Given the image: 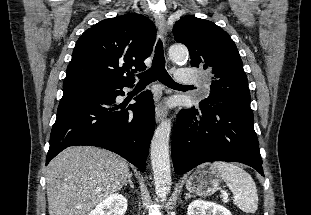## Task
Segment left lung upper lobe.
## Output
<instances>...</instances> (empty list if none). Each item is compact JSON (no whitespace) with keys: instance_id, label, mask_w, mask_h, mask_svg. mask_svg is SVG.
I'll return each instance as SVG.
<instances>
[{"instance_id":"obj_1","label":"left lung upper lobe","mask_w":311,"mask_h":215,"mask_svg":"<svg viewBox=\"0 0 311 215\" xmlns=\"http://www.w3.org/2000/svg\"><path fill=\"white\" fill-rule=\"evenodd\" d=\"M173 34L177 42L188 47L191 66L203 67L211 73L210 95L200 104L225 102L250 106L242 60L227 32L211 21L186 15L176 22Z\"/></svg>"}]
</instances>
